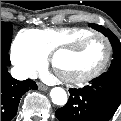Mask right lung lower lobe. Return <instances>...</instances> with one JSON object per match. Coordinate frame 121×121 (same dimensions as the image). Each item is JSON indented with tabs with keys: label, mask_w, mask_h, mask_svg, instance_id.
I'll return each instance as SVG.
<instances>
[{
	"label": "right lung lower lobe",
	"mask_w": 121,
	"mask_h": 121,
	"mask_svg": "<svg viewBox=\"0 0 121 121\" xmlns=\"http://www.w3.org/2000/svg\"><path fill=\"white\" fill-rule=\"evenodd\" d=\"M10 59L7 51L1 50V121H11L16 115L18 104L23 93L29 88L37 89L34 81H18L7 71Z\"/></svg>",
	"instance_id": "1"
}]
</instances>
